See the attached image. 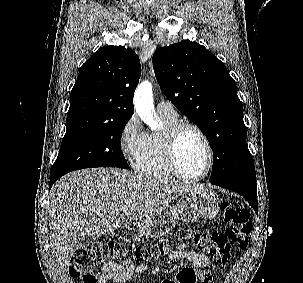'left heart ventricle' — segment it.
Segmentation results:
<instances>
[{
    "instance_id": "b2bd125f",
    "label": "left heart ventricle",
    "mask_w": 303,
    "mask_h": 283,
    "mask_svg": "<svg viewBox=\"0 0 303 283\" xmlns=\"http://www.w3.org/2000/svg\"><path fill=\"white\" fill-rule=\"evenodd\" d=\"M177 157L182 171L191 177L203 174L208 155L202 139L191 129H185L178 140Z\"/></svg>"
}]
</instances>
